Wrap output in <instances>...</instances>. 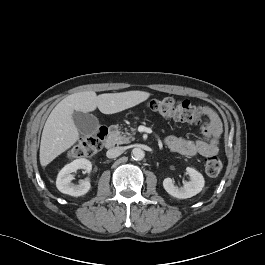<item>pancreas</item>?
<instances>
[{
  "label": "pancreas",
  "mask_w": 265,
  "mask_h": 265,
  "mask_svg": "<svg viewBox=\"0 0 265 265\" xmlns=\"http://www.w3.org/2000/svg\"><path fill=\"white\" fill-rule=\"evenodd\" d=\"M116 128V126H114ZM132 133L128 132L127 130L125 132L119 131L116 128V131H114V142L117 145L120 144H128L131 141H133L135 138L132 136L135 134V129H131Z\"/></svg>",
  "instance_id": "1"
}]
</instances>
